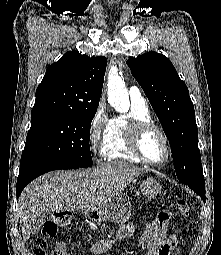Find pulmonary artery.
I'll use <instances>...</instances> for the list:
<instances>
[{"label": "pulmonary artery", "instance_id": "e3ab8cb5", "mask_svg": "<svg viewBox=\"0 0 221 255\" xmlns=\"http://www.w3.org/2000/svg\"><path fill=\"white\" fill-rule=\"evenodd\" d=\"M129 96H130L131 102L133 103L146 104V98L144 94L137 87H131L129 89Z\"/></svg>", "mask_w": 221, "mask_h": 255}]
</instances>
